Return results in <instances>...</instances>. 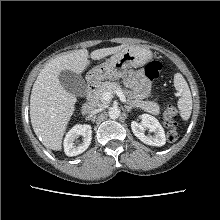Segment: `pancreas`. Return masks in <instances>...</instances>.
<instances>
[{
	"instance_id": "pancreas-1",
	"label": "pancreas",
	"mask_w": 220,
	"mask_h": 220,
	"mask_svg": "<svg viewBox=\"0 0 220 220\" xmlns=\"http://www.w3.org/2000/svg\"><path fill=\"white\" fill-rule=\"evenodd\" d=\"M116 90H121V86L117 84L116 82H102L98 88L94 91L92 100L94 103V106L96 107H104L107 105L108 101H105L102 99V96L106 92H112L114 93ZM129 102L132 105V107L141 108L144 111L151 113L153 115H158L160 113V107L159 105L151 100H145L143 101L142 98L137 93H132Z\"/></svg>"
}]
</instances>
